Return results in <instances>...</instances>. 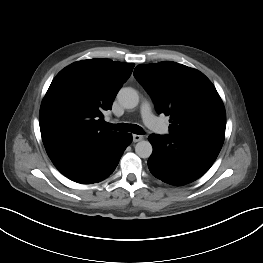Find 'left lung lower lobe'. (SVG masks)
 Wrapping results in <instances>:
<instances>
[{"label":"left lung lower lobe","mask_w":263,"mask_h":263,"mask_svg":"<svg viewBox=\"0 0 263 263\" xmlns=\"http://www.w3.org/2000/svg\"><path fill=\"white\" fill-rule=\"evenodd\" d=\"M153 153L148 160L150 172L171 185H185L201 177L212 166L222 144L186 135L151 134Z\"/></svg>","instance_id":"1"}]
</instances>
